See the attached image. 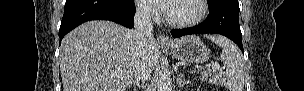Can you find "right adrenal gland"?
<instances>
[{
  "mask_svg": "<svg viewBox=\"0 0 304 91\" xmlns=\"http://www.w3.org/2000/svg\"><path fill=\"white\" fill-rule=\"evenodd\" d=\"M132 85H133V86L140 87V83H138L137 81H134V80H133L132 82H130V83L128 84L127 87H128V88H131Z\"/></svg>",
  "mask_w": 304,
  "mask_h": 91,
  "instance_id": "1",
  "label": "right adrenal gland"
}]
</instances>
